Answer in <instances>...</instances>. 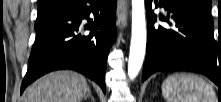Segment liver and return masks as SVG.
I'll return each instance as SVG.
<instances>
[{"mask_svg": "<svg viewBox=\"0 0 221 102\" xmlns=\"http://www.w3.org/2000/svg\"><path fill=\"white\" fill-rule=\"evenodd\" d=\"M84 76L56 71L35 81L23 94V102H81L88 92Z\"/></svg>", "mask_w": 221, "mask_h": 102, "instance_id": "obj_1", "label": "liver"}]
</instances>
